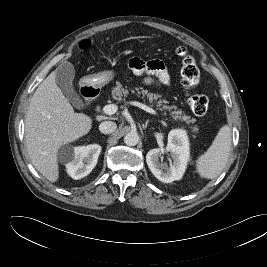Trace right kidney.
Segmentation results:
<instances>
[{"mask_svg": "<svg viewBox=\"0 0 267 267\" xmlns=\"http://www.w3.org/2000/svg\"><path fill=\"white\" fill-rule=\"evenodd\" d=\"M100 152L101 146L98 144L75 147L66 164L67 173L75 180L84 178L96 166Z\"/></svg>", "mask_w": 267, "mask_h": 267, "instance_id": "ca27d5eb", "label": "right kidney"}]
</instances>
